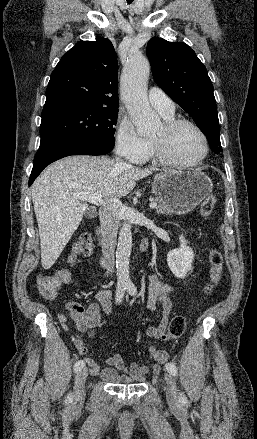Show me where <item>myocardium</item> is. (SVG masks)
I'll return each mask as SVG.
<instances>
[{
	"label": "myocardium",
	"instance_id": "f54148a6",
	"mask_svg": "<svg viewBox=\"0 0 257 439\" xmlns=\"http://www.w3.org/2000/svg\"><path fill=\"white\" fill-rule=\"evenodd\" d=\"M184 126H189L193 128L201 137L204 145V150L199 158L191 162H182L173 158L170 151L166 147V140L160 137H152V143L156 152V156L163 162L174 165L178 168H193L201 164L209 154L210 146L209 140L205 132L194 122L187 119H173L165 121L163 124V129L166 136L169 137L175 133L178 129Z\"/></svg>",
	"mask_w": 257,
	"mask_h": 439
}]
</instances>
